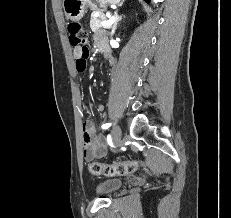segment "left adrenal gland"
Wrapping results in <instances>:
<instances>
[{"label": "left adrenal gland", "instance_id": "left-adrenal-gland-1", "mask_svg": "<svg viewBox=\"0 0 231 218\" xmlns=\"http://www.w3.org/2000/svg\"><path fill=\"white\" fill-rule=\"evenodd\" d=\"M121 19H122V16H118V14L116 13V21L112 27L111 35L115 34V31L117 29V25H118L119 21H121Z\"/></svg>", "mask_w": 231, "mask_h": 218}]
</instances>
